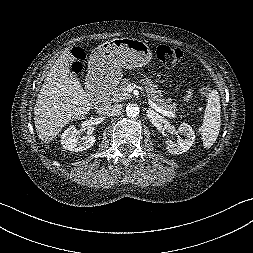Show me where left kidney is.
Wrapping results in <instances>:
<instances>
[{
    "mask_svg": "<svg viewBox=\"0 0 253 253\" xmlns=\"http://www.w3.org/2000/svg\"><path fill=\"white\" fill-rule=\"evenodd\" d=\"M178 130L179 133L184 135L185 139L179 138L177 143L166 142V149L171 154H182L188 151L195 141L194 130L187 123H182Z\"/></svg>",
    "mask_w": 253,
    "mask_h": 253,
    "instance_id": "left-kidney-1",
    "label": "left kidney"
}]
</instances>
